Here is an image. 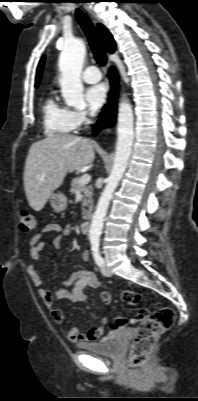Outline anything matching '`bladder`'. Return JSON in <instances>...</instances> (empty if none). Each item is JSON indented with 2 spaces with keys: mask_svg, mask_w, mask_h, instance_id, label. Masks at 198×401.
<instances>
[{
  "mask_svg": "<svg viewBox=\"0 0 198 401\" xmlns=\"http://www.w3.org/2000/svg\"><path fill=\"white\" fill-rule=\"evenodd\" d=\"M120 331H110L100 340L86 344L84 349L92 354L103 355L108 357H118L121 352V347L117 341V336Z\"/></svg>",
  "mask_w": 198,
  "mask_h": 401,
  "instance_id": "obj_1",
  "label": "bladder"
}]
</instances>
